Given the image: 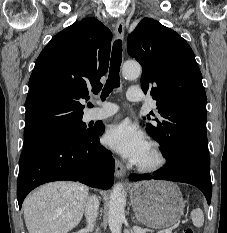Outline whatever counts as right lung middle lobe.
Returning <instances> with one entry per match:
<instances>
[{
  "label": "right lung middle lobe",
  "mask_w": 227,
  "mask_h": 233,
  "mask_svg": "<svg viewBox=\"0 0 227 233\" xmlns=\"http://www.w3.org/2000/svg\"><path fill=\"white\" fill-rule=\"evenodd\" d=\"M81 118L82 117L40 133L24 135L25 140L23 146L27 147L52 138H77L86 136L91 133V130L86 129V124L82 122Z\"/></svg>",
  "instance_id": "obj_1"
}]
</instances>
